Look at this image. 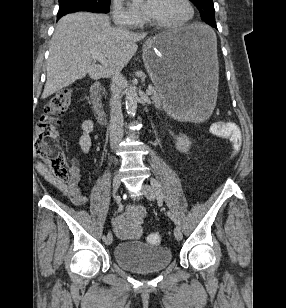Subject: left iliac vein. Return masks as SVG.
I'll return each mask as SVG.
<instances>
[{"instance_id": "1", "label": "left iliac vein", "mask_w": 286, "mask_h": 308, "mask_svg": "<svg viewBox=\"0 0 286 308\" xmlns=\"http://www.w3.org/2000/svg\"><path fill=\"white\" fill-rule=\"evenodd\" d=\"M142 192L144 193V195L146 196V198L148 200L154 201L157 198L156 194L154 192V189L147 183H144L142 185ZM174 236H175L176 240H178V241H181L182 238H183L181 229L178 226H176L175 229H174Z\"/></svg>"}]
</instances>
